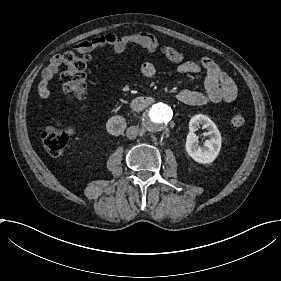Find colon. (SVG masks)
Wrapping results in <instances>:
<instances>
[{"label":"colon","instance_id":"obj_1","mask_svg":"<svg viewBox=\"0 0 281 281\" xmlns=\"http://www.w3.org/2000/svg\"><path fill=\"white\" fill-rule=\"evenodd\" d=\"M105 36L95 37L80 43L74 50L63 55L67 69L61 73L60 80L63 91L71 100L84 101L89 94L87 64L93 59L94 51L109 47L104 42ZM247 117L241 112L234 113L231 124L242 128ZM72 129L68 123L59 120L47 127L42 133V141L50 157H59L71 139Z\"/></svg>","mask_w":281,"mask_h":281}]
</instances>
